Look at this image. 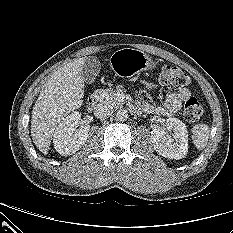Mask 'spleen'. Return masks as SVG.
Masks as SVG:
<instances>
[{
  "label": "spleen",
  "instance_id": "1",
  "mask_svg": "<svg viewBox=\"0 0 233 233\" xmlns=\"http://www.w3.org/2000/svg\"><path fill=\"white\" fill-rule=\"evenodd\" d=\"M192 140L193 144L198 150H201L206 147L209 134H210V127L207 124H196L192 127Z\"/></svg>",
  "mask_w": 233,
  "mask_h": 233
}]
</instances>
